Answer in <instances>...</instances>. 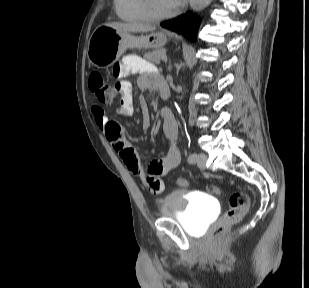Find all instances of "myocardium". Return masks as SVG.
Segmentation results:
<instances>
[{"instance_id":"obj_1","label":"myocardium","mask_w":309,"mask_h":288,"mask_svg":"<svg viewBox=\"0 0 309 288\" xmlns=\"http://www.w3.org/2000/svg\"><path fill=\"white\" fill-rule=\"evenodd\" d=\"M142 5L145 13L151 20H163L175 14V10H171L168 12L159 11L156 7L155 0H142Z\"/></svg>"}]
</instances>
